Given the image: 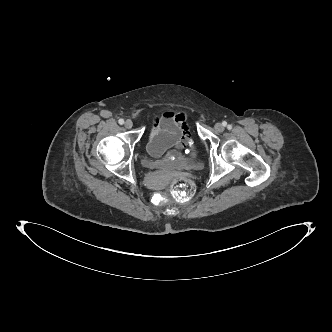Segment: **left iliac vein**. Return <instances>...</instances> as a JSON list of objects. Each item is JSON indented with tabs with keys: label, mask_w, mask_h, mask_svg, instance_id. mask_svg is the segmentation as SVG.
<instances>
[{
	"label": "left iliac vein",
	"mask_w": 332,
	"mask_h": 332,
	"mask_svg": "<svg viewBox=\"0 0 332 332\" xmlns=\"http://www.w3.org/2000/svg\"><path fill=\"white\" fill-rule=\"evenodd\" d=\"M215 130L218 132H223L224 131V126L221 123H216L214 126Z\"/></svg>",
	"instance_id": "obj_1"
}]
</instances>
